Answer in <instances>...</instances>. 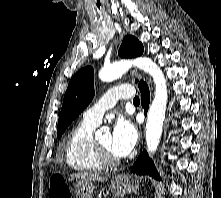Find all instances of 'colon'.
I'll use <instances>...</instances> for the list:
<instances>
[{
    "mask_svg": "<svg viewBox=\"0 0 221 198\" xmlns=\"http://www.w3.org/2000/svg\"><path fill=\"white\" fill-rule=\"evenodd\" d=\"M49 198H72L70 188L61 175H54L50 178Z\"/></svg>",
    "mask_w": 221,
    "mask_h": 198,
    "instance_id": "1",
    "label": "colon"
}]
</instances>
